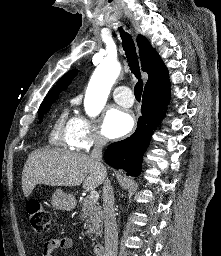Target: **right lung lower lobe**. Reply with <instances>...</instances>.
<instances>
[{"label":"right lung lower lobe","mask_w":221,"mask_h":256,"mask_svg":"<svg viewBox=\"0 0 221 256\" xmlns=\"http://www.w3.org/2000/svg\"><path fill=\"white\" fill-rule=\"evenodd\" d=\"M170 87L144 92L136 131L127 139L112 143L105 151V161L113 168L123 169L137 177L141 172L142 157L169 103Z\"/></svg>","instance_id":"right-lung-lower-lobe-1"}]
</instances>
